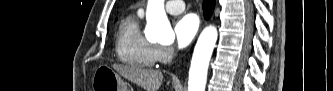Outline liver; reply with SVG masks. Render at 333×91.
I'll return each instance as SVG.
<instances>
[{"label":"liver","mask_w":333,"mask_h":91,"mask_svg":"<svg viewBox=\"0 0 333 91\" xmlns=\"http://www.w3.org/2000/svg\"><path fill=\"white\" fill-rule=\"evenodd\" d=\"M121 76L141 86L146 91H158L163 81L159 70L114 64L112 66Z\"/></svg>","instance_id":"liver-1"}]
</instances>
